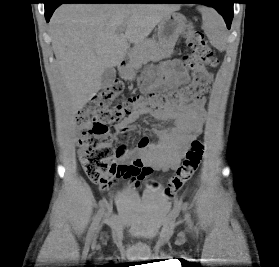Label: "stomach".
<instances>
[{"label":"stomach","mask_w":279,"mask_h":267,"mask_svg":"<svg viewBox=\"0 0 279 267\" xmlns=\"http://www.w3.org/2000/svg\"><path fill=\"white\" fill-rule=\"evenodd\" d=\"M186 17L180 13L172 12L166 15L158 23V45L162 51H168L173 48L180 35L186 30ZM147 68L146 75L150 72ZM121 75L125 80L132 81L136 78V72L131 66L121 70Z\"/></svg>","instance_id":"1"}]
</instances>
